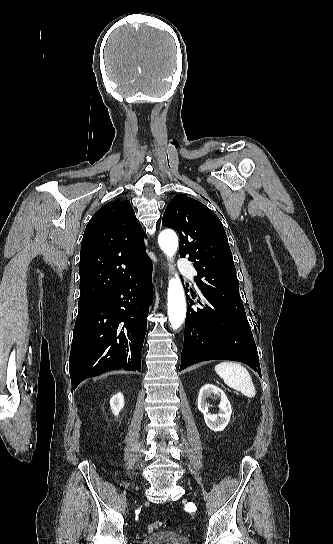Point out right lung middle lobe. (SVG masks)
<instances>
[{"label":"right lung middle lobe","mask_w":333,"mask_h":544,"mask_svg":"<svg viewBox=\"0 0 333 544\" xmlns=\"http://www.w3.org/2000/svg\"><path fill=\"white\" fill-rule=\"evenodd\" d=\"M104 298L101 299H93V300H85V301H79L78 302V312H82L85 310H88L90 308H93L97 304H99Z\"/></svg>","instance_id":"1"}]
</instances>
